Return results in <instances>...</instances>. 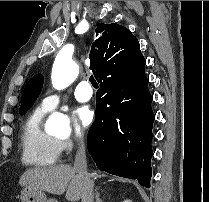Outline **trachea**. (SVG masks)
Returning <instances> with one entry per match:
<instances>
[{"label": "trachea", "mask_w": 209, "mask_h": 202, "mask_svg": "<svg viewBox=\"0 0 209 202\" xmlns=\"http://www.w3.org/2000/svg\"><path fill=\"white\" fill-rule=\"evenodd\" d=\"M89 80H90V82H91V84H92V86H93L94 88H98V83H97V81L94 79L93 76H91V77L89 78Z\"/></svg>", "instance_id": "1"}]
</instances>
